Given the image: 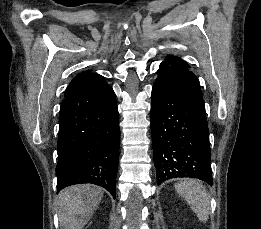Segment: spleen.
I'll return each instance as SVG.
<instances>
[{"label":"spleen","mask_w":261,"mask_h":229,"mask_svg":"<svg viewBox=\"0 0 261 229\" xmlns=\"http://www.w3.org/2000/svg\"><path fill=\"white\" fill-rule=\"evenodd\" d=\"M178 195L187 201V205L196 213L199 221L206 223L210 213V197L205 185L198 179H181L174 185Z\"/></svg>","instance_id":"spleen-1"}]
</instances>
